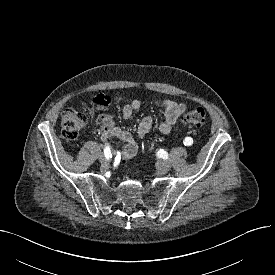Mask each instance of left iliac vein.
<instances>
[{
  "label": "left iliac vein",
  "mask_w": 275,
  "mask_h": 275,
  "mask_svg": "<svg viewBox=\"0 0 275 275\" xmlns=\"http://www.w3.org/2000/svg\"><path fill=\"white\" fill-rule=\"evenodd\" d=\"M156 168L158 169L159 172L165 174L170 170L171 164L170 162L165 160H158L156 163Z\"/></svg>",
  "instance_id": "left-iliac-vein-1"
}]
</instances>
